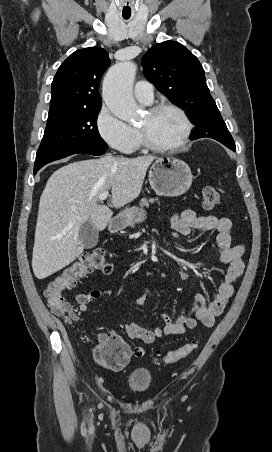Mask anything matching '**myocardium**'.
<instances>
[{
    "instance_id": "myocardium-1",
    "label": "myocardium",
    "mask_w": 272,
    "mask_h": 452,
    "mask_svg": "<svg viewBox=\"0 0 272 452\" xmlns=\"http://www.w3.org/2000/svg\"><path fill=\"white\" fill-rule=\"evenodd\" d=\"M162 110H169L172 111L174 113H176L181 121H182V133L180 135V137L178 138V140L170 145H157L154 144L153 142H151L149 140V138L147 137L144 129L142 127H137L138 130V135H139V139H140V143L145 146L146 148L152 150V151H156V152H173L176 151L178 149H180L181 147H183L186 142L188 141L190 134H191V130H192V125L190 122V119L188 118L187 114L185 113V111L180 108L179 106L175 105V104H171V103H161V104H157L154 105L152 107H150L148 109V113L149 114H155L157 112H160Z\"/></svg>"
}]
</instances>
